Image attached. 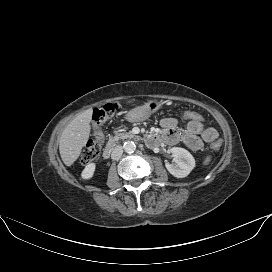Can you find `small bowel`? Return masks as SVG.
Returning a JSON list of instances; mask_svg holds the SVG:
<instances>
[{"label": "small bowel", "instance_id": "1", "mask_svg": "<svg viewBox=\"0 0 272 272\" xmlns=\"http://www.w3.org/2000/svg\"><path fill=\"white\" fill-rule=\"evenodd\" d=\"M160 125L163 141L171 145L183 142L193 151L200 150L204 142L212 143L218 137L214 128L206 127L201 121H185L182 125L178 119L166 117L161 119Z\"/></svg>", "mask_w": 272, "mask_h": 272}]
</instances>
